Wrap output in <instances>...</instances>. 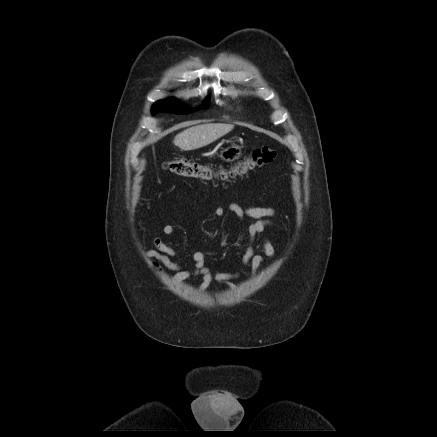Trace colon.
<instances>
[{
	"instance_id": "5ec220e1",
	"label": "colon",
	"mask_w": 437,
	"mask_h": 437,
	"mask_svg": "<svg viewBox=\"0 0 437 437\" xmlns=\"http://www.w3.org/2000/svg\"><path fill=\"white\" fill-rule=\"evenodd\" d=\"M277 152L267 146L256 147L246 157L229 165L213 166L205 163H198L186 158H174L166 161L164 169L182 177L198 179H227L237 175H242L248 171L262 167L274 162Z\"/></svg>"
}]
</instances>
